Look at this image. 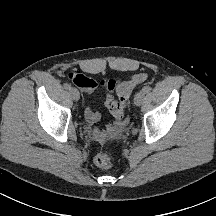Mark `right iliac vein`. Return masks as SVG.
Instances as JSON below:
<instances>
[{
	"label": "right iliac vein",
	"mask_w": 216,
	"mask_h": 216,
	"mask_svg": "<svg viewBox=\"0 0 216 216\" xmlns=\"http://www.w3.org/2000/svg\"><path fill=\"white\" fill-rule=\"evenodd\" d=\"M71 97L73 98V100H79L80 98V93L76 88H71L69 90Z\"/></svg>",
	"instance_id": "1"
}]
</instances>
